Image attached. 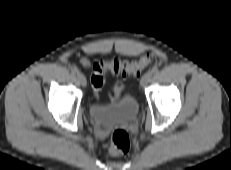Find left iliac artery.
<instances>
[{"label": "left iliac artery", "mask_w": 231, "mask_h": 170, "mask_svg": "<svg viewBox=\"0 0 231 170\" xmlns=\"http://www.w3.org/2000/svg\"><path fill=\"white\" fill-rule=\"evenodd\" d=\"M151 73L152 74L158 73V68L157 67H153L152 70H151Z\"/></svg>", "instance_id": "left-iliac-artery-1"}]
</instances>
